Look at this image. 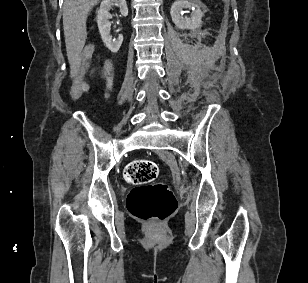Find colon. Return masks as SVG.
I'll use <instances>...</instances> for the list:
<instances>
[{
    "mask_svg": "<svg viewBox=\"0 0 308 283\" xmlns=\"http://www.w3.org/2000/svg\"><path fill=\"white\" fill-rule=\"evenodd\" d=\"M95 52L93 43L83 47L75 63L74 82L71 88L73 98H79L88 89L90 61ZM158 175V166L147 159L128 163L124 179L134 187L127 199V207L134 217L151 223L162 222L176 209V198L165 183H152Z\"/></svg>",
    "mask_w": 308,
    "mask_h": 283,
    "instance_id": "1",
    "label": "colon"
}]
</instances>
